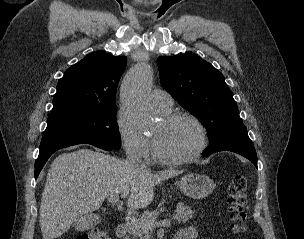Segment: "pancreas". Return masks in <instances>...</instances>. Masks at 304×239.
I'll return each mask as SVG.
<instances>
[{
    "mask_svg": "<svg viewBox=\"0 0 304 239\" xmlns=\"http://www.w3.org/2000/svg\"><path fill=\"white\" fill-rule=\"evenodd\" d=\"M158 212L145 211L142 215L133 218L127 223L129 236L132 239H152L149 222L157 218ZM194 211L191 207L180 202L177 204L174 219L179 223H186L189 219L193 218ZM129 236L126 239H129Z\"/></svg>",
    "mask_w": 304,
    "mask_h": 239,
    "instance_id": "1",
    "label": "pancreas"
}]
</instances>
